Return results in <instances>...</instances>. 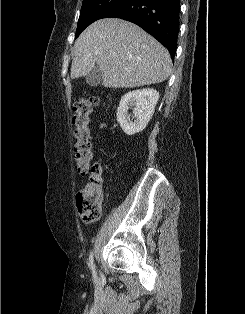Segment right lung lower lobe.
<instances>
[{"mask_svg":"<svg viewBox=\"0 0 245 314\" xmlns=\"http://www.w3.org/2000/svg\"><path fill=\"white\" fill-rule=\"evenodd\" d=\"M116 17L135 23L175 56L179 32L180 0H127L103 18Z\"/></svg>","mask_w":245,"mask_h":314,"instance_id":"98d812e1","label":"right lung lower lobe"}]
</instances>
